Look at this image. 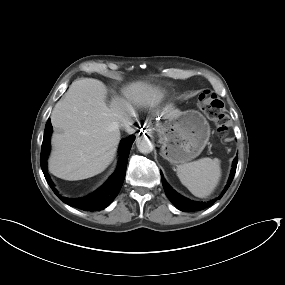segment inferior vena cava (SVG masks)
<instances>
[{
	"label": "inferior vena cava",
	"mask_w": 285,
	"mask_h": 285,
	"mask_svg": "<svg viewBox=\"0 0 285 285\" xmlns=\"http://www.w3.org/2000/svg\"><path fill=\"white\" fill-rule=\"evenodd\" d=\"M134 123V120L132 116H127L122 119L121 126L125 131L129 134H132L135 132V130L131 127Z\"/></svg>",
	"instance_id": "inferior-vena-cava-1"
}]
</instances>
